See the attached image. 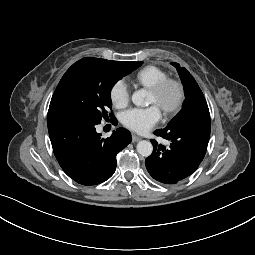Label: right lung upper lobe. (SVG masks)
Wrapping results in <instances>:
<instances>
[{"label": "right lung upper lobe", "mask_w": 255, "mask_h": 255, "mask_svg": "<svg viewBox=\"0 0 255 255\" xmlns=\"http://www.w3.org/2000/svg\"><path fill=\"white\" fill-rule=\"evenodd\" d=\"M87 59H93V58H90V57H86V58H83V59H81V60H79V61H82V60H87ZM78 62V61H77Z\"/></svg>", "instance_id": "right-lung-upper-lobe-1"}]
</instances>
